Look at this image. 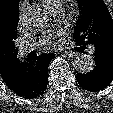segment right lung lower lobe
I'll use <instances>...</instances> for the list:
<instances>
[{
	"label": "right lung lower lobe",
	"mask_w": 113,
	"mask_h": 113,
	"mask_svg": "<svg viewBox=\"0 0 113 113\" xmlns=\"http://www.w3.org/2000/svg\"><path fill=\"white\" fill-rule=\"evenodd\" d=\"M54 54H42L20 61L15 74L5 83L18 96L25 99L39 97L46 90L48 66Z\"/></svg>",
	"instance_id": "98d812e1"
}]
</instances>
